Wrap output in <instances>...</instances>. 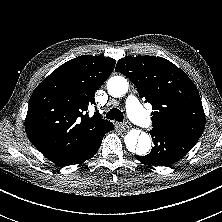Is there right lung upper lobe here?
<instances>
[{
	"instance_id": "cb5924a9",
	"label": "right lung upper lobe",
	"mask_w": 222,
	"mask_h": 222,
	"mask_svg": "<svg viewBox=\"0 0 222 222\" xmlns=\"http://www.w3.org/2000/svg\"><path fill=\"white\" fill-rule=\"evenodd\" d=\"M116 61L79 56L55 69L34 90L25 119L32 144L49 160L64 158L87 147L111 122L89 117L95 91L112 73Z\"/></svg>"
}]
</instances>
